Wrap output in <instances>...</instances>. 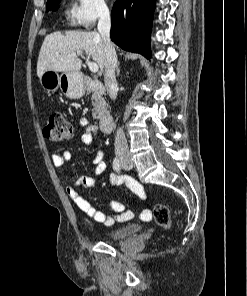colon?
Masks as SVG:
<instances>
[{
  "label": "colon",
  "mask_w": 247,
  "mask_h": 296,
  "mask_svg": "<svg viewBox=\"0 0 247 296\" xmlns=\"http://www.w3.org/2000/svg\"><path fill=\"white\" fill-rule=\"evenodd\" d=\"M44 134L50 141L63 142L72 137L73 128L61 112L53 111L44 128ZM152 215L156 224L162 229L167 230L171 227L170 213L166 205L156 204L152 210ZM149 217H151V213L144 215L145 219Z\"/></svg>",
  "instance_id": "colon-1"
}]
</instances>
